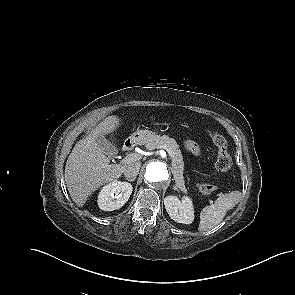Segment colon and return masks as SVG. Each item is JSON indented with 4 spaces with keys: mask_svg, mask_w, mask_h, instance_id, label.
Segmentation results:
<instances>
[{
    "mask_svg": "<svg viewBox=\"0 0 295 295\" xmlns=\"http://www.w3.org/2000/svg\"><path fill=\"white\" fill-rule=\"evenodd\" d=\"M212 139L217 147L216 168L221 172H226L232 166L228 142L226 138L218 132L212 133ZM216 189V185L210 182H203L199 185L200 192L206 195L212 194Z\"/></svg>",
    "mask_w": 295,
    "mask_h": 295,
    "instance_id": "5ec220e1",
    "label": "colon"
}]
</instances>
